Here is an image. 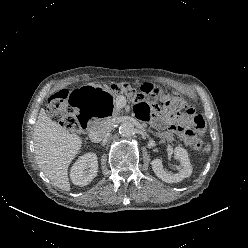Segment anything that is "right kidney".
Listing matches in <instances>:
<instances>
[{"label": "right kidney", "mask_w": 248, "mask_h": 248, "mask_svg": "<svg viewBox=\"0 0 248 248\" xmlns=\"http://www.w3.org/2000/svg\"><path fill=\"white\" fill-rule=\"evenodd\" d=\"M98 161L95 153L81 156L71 167L70 178L73 184L85 186L97 175Z\"/></svg>", "instance_id": "right-kidney-1"}]
</instances>
